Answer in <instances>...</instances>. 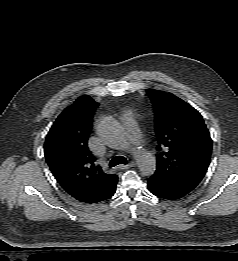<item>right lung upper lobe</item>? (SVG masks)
Segmentation results:
<instances>
[{
	"label": "right lung upper lobe",
	"instance_id": "right-lung-upper-lobe-1",
	"mask_svg": "<svg viewBox=\"0 0 238 261\" xmlns=\"http://www.w3.org/2000/svg\"><path fill=\"white\" fill-rule=\"evenodd\" d=\"M98 106L90 96L78 97L56 119L44 145L46 162L57 182L73 198L93 203L118 180L96 165L88 149L91 120Z\"/></svg>",
	"mask_w": 238,
	"mask_h": 261
}]
</instances>
